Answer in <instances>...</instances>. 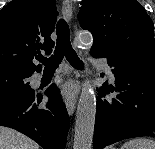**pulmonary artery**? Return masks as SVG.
<instances>
[{
	"label": "pulmonary artery",
	"instance_id": "1",
	"mask_svg": "<svg viewBox=\"0 0 155 149\" xmlns=\"http://www.w3.org/2000/svg\"><path fill=\"white\" fill-rule=\"evenodd\" d=\"M91 62L94 63V64H97V65H100L109 74L110 78L114 79V76H113V74L111 72V69H110V67H109V65H108L106 60H103V59H92ZM41 78H42L41 74H36L35 75V81L38 82V81L41 80Z\"/></svg>",
	"mask_w": 155,
	"mask_h": 149
}]
</instances>
